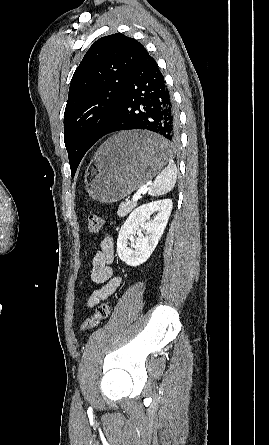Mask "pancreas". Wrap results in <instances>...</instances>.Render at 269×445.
<instances>
[{
	"label": "pancreas",
	"mask_w": 269,
	"mask_h": 445,
	"mask_svg": "<svg viewBox=\"0 0 269 445\" xmlns=\"http://www.w3.org/2000/svg\"><path fill=\"white\" fill-rule=\"evenodd\" d=\"M137 205L136 202H123L119 205L118 211H117V215L119 217H125L128 213H130L132 211L133 208H135Z\"/></svg>",
	"instance_id": "1"
}]
</instances>
